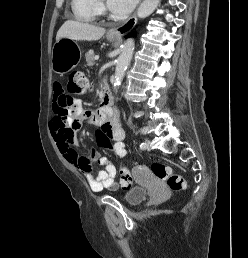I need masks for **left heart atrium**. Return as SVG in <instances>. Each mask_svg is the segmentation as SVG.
<instances>
[{
  "mask_svg": "<svg viewBox=\"0 0 248 258\" xmlns=\"http://www.w3.org/2000/svg\"><path fill=\"white\" fill-rule=\"evenodd\" d=\"M137 2L138 0H107L109 9L117 16L127 15Z\"/></svg>",
  "mask_w": 248,
  "mask_h": 258,
  "instance_id": "1",
  "label": "left heart atrium"
}]
</instances>
